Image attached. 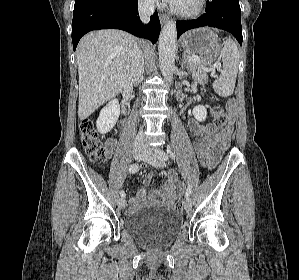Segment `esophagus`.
Returning <instances> with one entry per match:
<instances>
[{
	"instance_id": "1",
	"label": "esophagus",
	"mask_w": 299,
	"mask_h": 280,
	"mask_svg": "<svg viewBox=\"0 0 299 280\" xmlns=\"http://www.w3.org/2000/svg\"><path fill=\"white\" fill-rule=\"evenodd\" d=\"M159 18H160V21L162 24H164L168 21V16H166L165 14H160Z\"/></svg>"
}]
</instances>
